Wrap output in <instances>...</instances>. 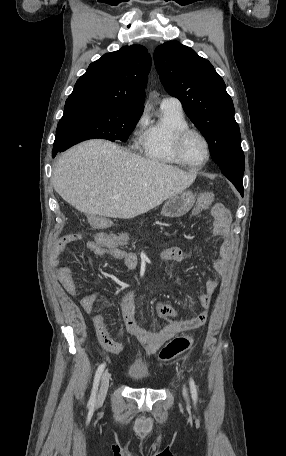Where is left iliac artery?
I'll return each instance as SVG.
<instances>
[{
	"mask_svg": "<svg viewBox=\"0 0 286 456\" xmlns=\"http://www.w3.org/2000/svg\"><path fill=\"white\" fill-rule=\"evenodd\" d=\"M190 391H191V394H192V399L193 401L196 403L197 401V388H196V385H195V382L192 378H190Z\"/></svg>",
	"mask_w": 286,
	"mask_h": 456,
	"instance_id": "obj_1",
	"label": "left iliac artery"
}]
</instances>
